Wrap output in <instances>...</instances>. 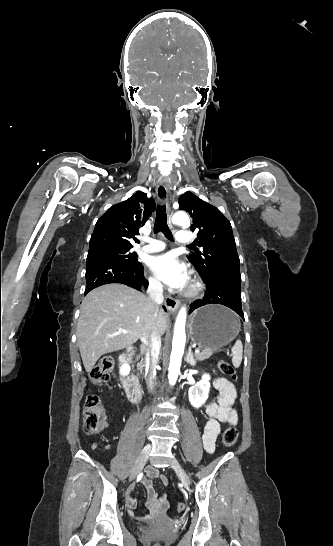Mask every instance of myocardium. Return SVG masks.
<instances>
[{
  "instance_id": "myocardium-1",
  "label": "myocardium",
  "mask_w": 333,
  "mask_h": 546,
  "mask_svg": "<svg viewBox=\"0 0 333 546\" xmlns=\"http://www.w3.org/2000/svg\"><path fill=\"white\" fill-rule=\"evenodd\" d=\"M203 289V284L198 278H194L185 292V295L188 297H193L198 295Z\"/></svg>"
}]
</instances>
